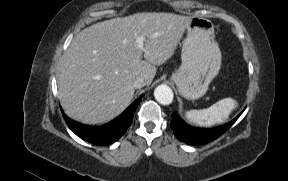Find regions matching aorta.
<instances>
[{
	"mask_svg": "<svg viewBox=\"0 0 288 181\" xmlns=\"http://www.w3.org/2000/svg\"><path fill=\"white\" fill-rule=\"evenodd\" d=\"M154 97L162 105H169L173 101V91L167 85H159L154 90Z\"/></svg>",
	"mask_w": 288,
	"mask_h": 181,
	"instance_id": "1",
	"label": "aorta"
}]
</instances>
